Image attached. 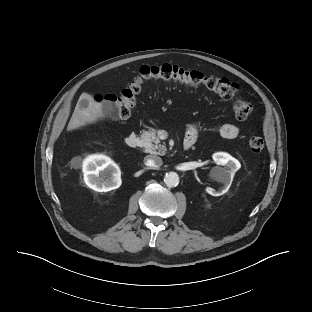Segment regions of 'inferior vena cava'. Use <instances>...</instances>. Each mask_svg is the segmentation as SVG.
I'll use <instances>...</instances> for the list:
<instances>
[{"instance_id": "1", "label": "inferior vena cava", "mask_w": 312, "mask_h": 312, "mask_svg": "<svg viewBox=\"0 0 312 312\" xmlns=\"http://www.w3.org/2000/svg\"><path fill=\"white\" fill-rule=\"evenodd\" d=\"M145 164L151 168H159L162 166L163 161L159 156L156 155H147L145 157Z\"/></svg>"}]
</instances>
